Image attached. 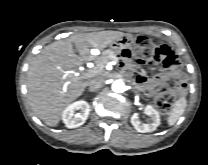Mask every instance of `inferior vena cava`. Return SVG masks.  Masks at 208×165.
Wrapping results in <instances>:
<instances>
[{
	"mask_svg": "<svg viewBox=\"0 0 208 165\" xmlns=\"http://www.w3.org/2000/svg\"><path fill=\"white\" fill-rule=\"evenodd\" d=\"M103 84H104V79L99 78V77L98 78H94L88 84L89 90L90 91H94V90L100 88Z\"/></svg>",
	"mask_w": 208,
	"mask_h": 165,
	"instance_id": "inferior-vena-cava-1",
	"label": "inferior vena cava"
}]
</instances>
